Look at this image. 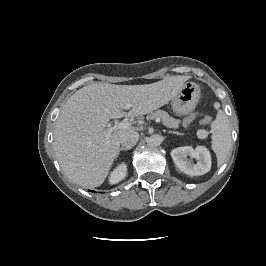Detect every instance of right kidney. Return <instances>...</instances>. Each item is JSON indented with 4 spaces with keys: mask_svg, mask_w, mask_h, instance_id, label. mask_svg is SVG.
I'll return each mask as SVG.
<instances>
[{
    "mask_svg": "<svg viewBox=\"0 0 266 266\" xmlns=\"http://www.w3.org/2000/svg\"><path fill=\"white\" fill-rule=\"evenodd\" d=\"M127 173V166L125 163L118 165L113 172L110 174L109 182L110 184H116L125 178Z\"/></svg>",
    "mask_w": 266,
    "mask_h": 266,
    "instance_id": "1",
    "label": "right kidney"
}]
</instances>
